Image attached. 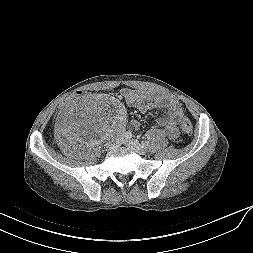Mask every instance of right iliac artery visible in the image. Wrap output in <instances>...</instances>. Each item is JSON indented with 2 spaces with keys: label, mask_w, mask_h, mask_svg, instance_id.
<instances>
[{
  "label": "right iliac artery",
  "mask_w": 253,
  "mask_h": 253,
  "mask_svg": "<svg viewBox=\"0 0 253 253\" xmlns=\"http://www.w3.org/2000/svg\"><path fill=\"white\" fill-rule=\"evenodd\" d=\"M122 136L123 138L130 139L132 137V133L130 131H127Z\"/></svg>",
  "instance_id": "obj_1"
}]
</instances>
